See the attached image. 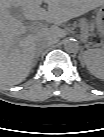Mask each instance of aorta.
<instances>
[{"label": "aorta", "mask_w": 104, "mask_h": 137, "mask_svg": "<svg viewBox=\"0 0 104 137\" xmlns=\"http://www.w3.org/2000/svg\"><path fill=\"white\" fill-rule=\"evenodd\" d=\"M63 48L69 53H75L79 50V45L75 39H65L63 41Z\"/></svg>", "instance_id": "1"}]
</instances>
